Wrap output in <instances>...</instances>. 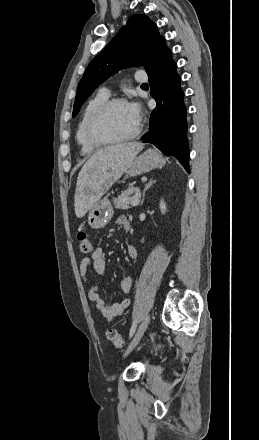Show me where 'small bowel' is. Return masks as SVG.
Returning <instances> with one entry per match:
<instances>
[{"instance_id": "c3829d8e", "label": "small bowel", "mask_w": 259, "mask_h": 440, "mask_svg": "<svg viewBox=\"0 0 259 440\" xmlns=\"http://www.w3.org/2000/svg\"><path fill=\"white\" fill-rule=\"evenodd\" d=\"M117 224L122 227H128L129 222L125 216H120L117 219ZM126 253L130 259L137 257L136 248L131 245H126ZM93 268L99 275L106 273V261L104 258L103 250L99 247L95 248L90 258H83L79 265V273L84 283H87L88 271ZM133 280L131 276H125L121 281V289L125 294L131 291ZM88 298L95 303V306L99 312L103 315L106 321H113L118 316L122 315L130 306L129 299H123L120 303L108 305L99 295L98 287L93 285L88 291Z\"/></svg>"}]
</instances>
